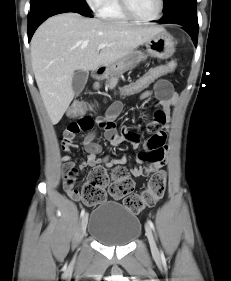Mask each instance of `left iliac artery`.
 I'll list each match as a JSON object with an SVG mask.
<instances>
[{
  "instance_id": "left-iliac-artery-1",
  "label": "left iliac artery",
  "mask_w": 231,
  "mask_h": 281,
  "mask_svg": "<svg viewBox=\"0 0 231 281\" xmlns=\"http://www.w3.org/2000/svg\"><path fill=\"white\" fill-rule=\"evenodd\" d=\"M148 224L150 225L151 229H152L153 231H155L154 224H153V222H152L151 220H148ZM161 255L163 256L162 251H161Z\"/></svg>"
}]
</instances>
